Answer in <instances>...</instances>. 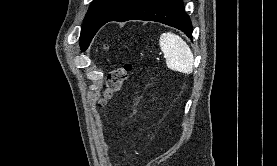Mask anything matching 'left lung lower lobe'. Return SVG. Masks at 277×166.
<instances>
[{"label": "left lung lower lobe", "mask_w": 277, "mask_h": 166, "mask_svg": "<svg viewBox=\"0 0 277 166\" xmlns=\"http://www.w3.org/2000/svg\"><path fill=\"white\" fill-rule=\"evenodd\" d=\"M134 19L160 22L175 27L190 38L192 37V23L184 11L182 0H134L108 22H124Z\"/></svg>", "instance_id": "1"}]
</instances>
